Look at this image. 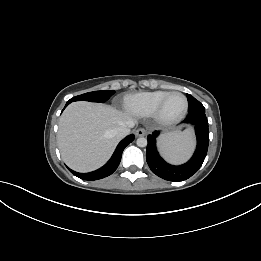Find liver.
Wrapping results in <instances>:
<instances>
[{"label":"liver","mask_w":261,"mask_h":261,"mask_svg":"<svg viewBox=\"0 0 261 261\" xmlns=\"http://www.w3.org/2000/svg\"><path fill=\"white\" fill-rule=\"evenodd\" d=\"M133 119L111 106L74 102L63 112L57 134L63 161L73 170L90 172L106 163L121 138L115 130Z\"/></svg>","instance_id":"1"}]
</instances>
